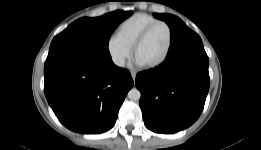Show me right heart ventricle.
I'll use <instances>...</instances> for the list:
<instances>
[{"label":"right heart ventricle","mask_w":261,"mask_h":150,"mask_svg":"<svg viewBox=\"0 0 261 150\" xmlns=\"http://www.w3.org/2000/svg\"><path fill=\"white\" fill-rule=\"evenodd\" d=\"M158 21L157 18L146 13H135L123 20L116 28V36L129 47H133L134 42L141 32L151 23Z\"/></svg>","instance_id":"1"}]
</instances>
